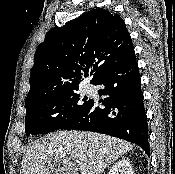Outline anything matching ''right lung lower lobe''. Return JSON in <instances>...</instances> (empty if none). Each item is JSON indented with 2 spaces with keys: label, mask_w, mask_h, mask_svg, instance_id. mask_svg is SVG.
Here are the masks:
<instances>
[{
  "label": "right lung lower lobe",
  "mask_w": 175,
  "mask_h": 174,
  "mask_svg": "<svg viewBox=\"0 0 175 174\" xmlns=\"http://www.w3.org/2000/svg\"><path fill=\"white\" fill-rule=\"evenodd\" d=\"M94 85L105 99L100 108L90 100L82 113L63 129L104 133L140 146L150 155L148 124L140 87V75L134 52L107 69Z\"/></svg>",
  "instance_id": "obj_1"
}]
</instances>
